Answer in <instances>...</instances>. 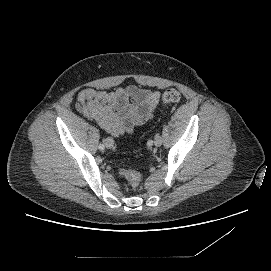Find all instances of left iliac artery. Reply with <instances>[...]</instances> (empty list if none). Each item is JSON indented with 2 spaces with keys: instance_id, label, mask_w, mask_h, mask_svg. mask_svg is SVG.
I'll return each mask as SVG.
<instances>
[{
  "instance_id": "obj_1",
  "label": "left iliac artery",
  "mask_w": 271,
  "mask_h": 271,
  "mask_svg": "<svg viewBox=\"0 0 271 271\" xmlns=\"http://www.w3.org/2000/svg\"><path fill=\"white\" fill-rule=\"evenodd\" d=\"M147 145L150 147V146H152L153 145V141L152 140H148L147 141Z\"/></svg>"
}]
</instances>
